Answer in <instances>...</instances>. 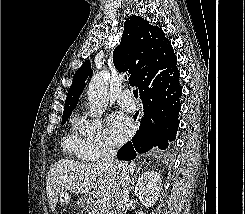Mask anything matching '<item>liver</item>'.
Masks as SVG:
<instances>
[{
  "label": "liver",
  "mask_w": 245,
  "mask_h": 214,
  "mask_svg": "<svg viewBox=\"0 0 245 214\" xmlns=\"http://www.w3.org/2000/svg\"><path fill=\"white\" fill-rule=\"evenodd\" d=\"M129 174L136 173L135 162L126 163ZM116 175L99 164L60 159L49 170L46 179V193L49 207L55 211L61 191L87 194L94 188L98 196L114 199Z\"/></svg>",
  "instance_id": "obj_1"
}]
</instances>
